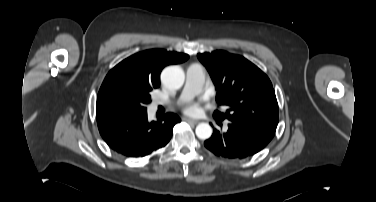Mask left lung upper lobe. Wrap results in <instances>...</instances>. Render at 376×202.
<instances>
[{"mask_svg":"<svg viewBox=\"0 0 376 202\" xmlns=\"http://www.w3.org/2000/svg\"><path fill=\"white\" fill-rule=\"evenodd\" d=\"M207 68L216 99L226 111L216 110V119L253 121L277 128L279 112L272 83L257 66L239 55L214 51L197 55Z\"/></svg>","mask_w":376,"mask_h":202,"instance_id":"left-lung-upper-lobe-1","label":"left lung upper lobe"}]
</instances>
